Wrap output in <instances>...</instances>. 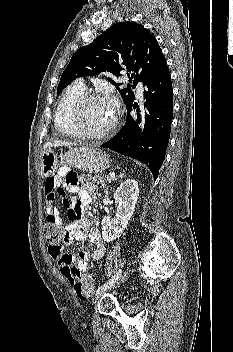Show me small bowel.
I'll list each match as a JSON object with an SVG mask.
<instances>
[{"label": "small bowel", "mask_w": 233, "mask_h": 352, "mask_svg": "<svg viewBox=\"0 0 233 352\" xmlns=\"http://www.w3.org/2000/svg\"><path fill=\"white\" fill-rule=\"evenodd\" d=\"M67 192L73 193L74 197L65 198ZM58 195L64 198L63 204L67 208L69 222L66 225L63 223L60 211L53 205ZM94 196V187L67 167H61L55 176L47 178L45 182L46 222L63 230L66 238L65 245L79 244L87 239L92 245L89 251L82 250L77 253L64 252V246L49 247L50 256L57 262L62 274L71 284H74L90 268V259L99 261L105 253L98 222L90 228L84 216V209Z\"/></svg>", "instance_id": "c3829d8e"}]
</instances>
